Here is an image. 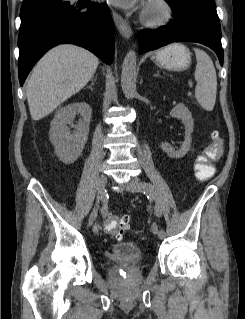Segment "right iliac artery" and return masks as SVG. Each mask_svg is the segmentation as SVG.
Here are the masks:
<instances>
[{"label": "right iliac artery", "mask_w": 245, "mask_h": 319, "mask_svg": "<svg viewBox=\"0 0 245 319\" xmlns=\"http://www.w3.org/2000/svg\"><path fill=\"white\" fill-rule=\"evenodd\" d=\"M106 192V191H105ZM108 198V194H105V197H104V200H103V205H102V208H101V211H102V215L105 216L106 213H107V204L105 203L106 199ZM94 229L96 230V232L99 231L100 229V226L99 224L97 225V227H94Z\"/></svg>", "instance_id": "obj_1"}]
</instances>
